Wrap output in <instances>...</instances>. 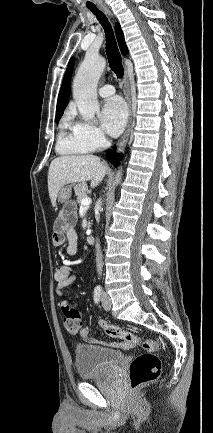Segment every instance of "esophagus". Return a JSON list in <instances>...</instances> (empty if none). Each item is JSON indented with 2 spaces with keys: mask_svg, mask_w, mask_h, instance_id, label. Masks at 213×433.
<instances>
[{
  "mask_svg": "<svg viewBox=\"0 0 213 433\" xmlns=\"http://www.w3.org/2000/svg\"><path fill=\"white\" fill-rule=\"evenodd\" d=\"M103 9L105 10V12L108 13L109 16H111V17L113 16L111 11L106 6H103ZM123 82H124V92H125L127 105H128V122H127L126 130H125L121 140L118 143V150L119 151L123 150L127 144V141L129 139V136L131 133V123H132V118H133L130 83H129L128 71H127L126 67H125Z\"/></svg>",
  "mask_w": 213,
  "mask_h": 433,
  "instance_id": "1",
  "label": "esophagus"
}]
</instances>
